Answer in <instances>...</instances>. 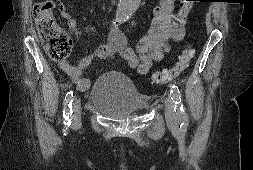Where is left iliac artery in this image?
<instances>
[{
  "instance_id": "44dca946",
  "label": "left iliac artery",
  "mask_w": 253,
  "mask_h": 170,
  "mask_svg": "<svg viewBox=\"0 0 253 170\" xmlns=\"http://www.w3.org/2000/svg\"><path fill=\"white\" fill-rule=\"evenodd\" d=\"M170 96L175 103L174 111L181 121L180 129L185 132L188 127L187 114L183 108L181 93L177 86L171 85Z\"/></svg>"
}]
</instances>
